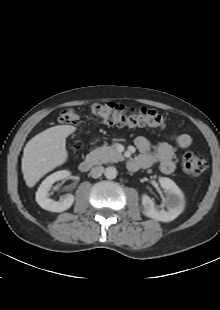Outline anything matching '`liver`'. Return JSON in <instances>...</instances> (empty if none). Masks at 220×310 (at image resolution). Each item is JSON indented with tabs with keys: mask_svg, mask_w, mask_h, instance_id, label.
Instances as JSON below:
<instances>
[{
	"mask_svg": "<svg viewBox=\"0 0 220 310\" xmlns=\"http://www.w3.org/2000/svg\"><path fill=\"white\" fill-rule=\"evenodd\" d=\"M72 125H58L34 136L25 146L22 173L28 187L68 159L66 138L76 131Z\"/></svg>",
	"mask_w": 220,
	"mask_h": 310,
	"instance_id": "obj_1",
	"label": "liver"
}]
</instances>
